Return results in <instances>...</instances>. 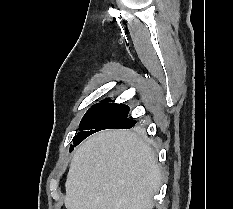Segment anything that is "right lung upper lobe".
I'll list each match as a JSON object with an SVG mask.
<instances>
[{
    "mask_svg": "<svg viewBox=\"0 0 233 209\" xmlns=\"http://www.w3.org/2000/svg\"><path fill=\"white\" fill-rule=\"evenodd\" d=\"M108 101H110L109 99H105V100H102L101 103H108ZM101 103H98V104H101Z\"/></svg>",
    "mask_w": 233,
    "mask_h": 209,
    "instance_id": "obj_1",
    "label": "right lung upper lobe"
}]
</instances>
